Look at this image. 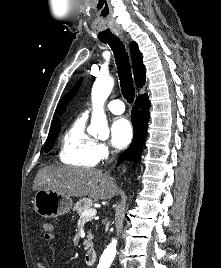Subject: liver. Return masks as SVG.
<instances>
[{"mask_svg": "<svg viewBox=\"0 0 221 268\" xmlns=\"http://www.w3.org/2000/svg\"><path fill=\"white\" fill-rule=\"evenodd\" d=\"M47 189L72 197L89 196L95 200L111 199L119 192L116 183L101 169L47 166L40 169L33 190Z\"/></svg>", "mask_w": 221, "mask_h": 268, "instance_id": "6515ba94", "label": "liver"}]
</instances>
